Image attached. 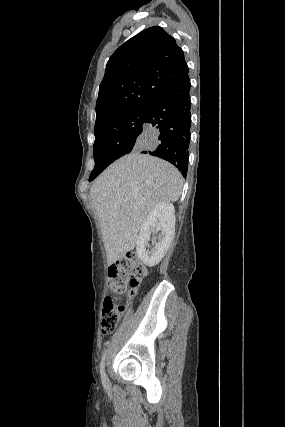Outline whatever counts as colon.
<instances>
[{
  "mask_svg": "<svg viewBox=\"0 0 285 427\" xmlns=\"http://www.w3.org/2000/svg\"><path fill=\"white\" fill-rule=\"evenodd\" d=\"M146 274L144 265L136 257L123 258L108 270V286L110 294L104 300L102 311L103 334H110L118 324L125 305L120 298L127 292H133L139 281Z\"/></svg>",
  "mask_w": 285,
  "mask_h": 427,
  "instance_id": "5ec220e1",
  "label": "colon"
}]
</instances>
